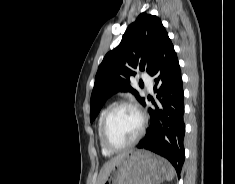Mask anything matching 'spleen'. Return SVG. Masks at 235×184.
<instances>
[{
    "mask_svg": "<svg viewBox=\"0 0 235 184\" xmlns=\"http://www.w3.org/2000/svg\"><path fill=\"white\" fill-rule=\"evenodd\" d=\"M174 176H175V170L173 166H171V164H168V172H167L166 180L170 182V180H173Z\"/></svg>",
    "mask_w": 235,
    "mask_h": 184,
    "instance_id": "1",
    "label": "spleen"
}]
</instances>
